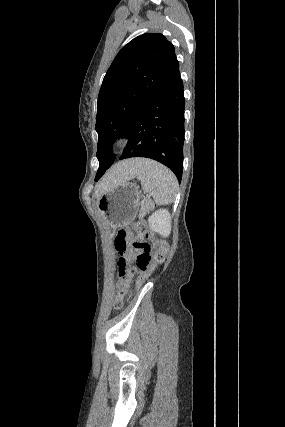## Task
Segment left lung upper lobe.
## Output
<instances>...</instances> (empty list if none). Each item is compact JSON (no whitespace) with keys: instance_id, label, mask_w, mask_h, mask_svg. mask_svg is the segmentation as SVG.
<instances>
[{"instance_id":"obj_1","label":"left lung upper lobe","mask_w":285,"mask_h":427,"mask_svg":"<svg viewBox=\"0 0 285 427\" xmlns=\"http://www.w3.org/2000/svg\"><path fill=\"white\" fill-rule=\"evenodd\" d=\"M178 60L174 46L159 33L134 38L117 54L98 96V181L112 165V145L123 138L143 105L170 73Z\"/></svg>"}]
</instances>
